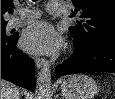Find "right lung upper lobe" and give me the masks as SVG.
<instances>
[{"mask_svg":"<svg viewBox=\"0 0 115 99\" xmlns=\"http://www.w3.org/2000/svg\"><path fill=\"white\" fill-rule=\"evenodd\" d=\"M10 7H13V0H1V23H6L3 15Z\"/></svg>","mask_w":115,"mask_h":99,"instance_id":"obj_1","label":"right lung upper lobe"}]
</instances>
